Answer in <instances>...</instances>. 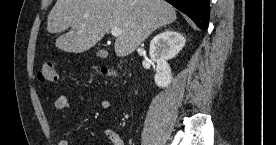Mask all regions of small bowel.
Listing matches in <instances>:
<instances>
[{
	"label": "small bowel",
	"mask_w": 276,
	"mask_h": 145,
	"mask_svg": "<svg viewBox=\"0 0 276 145\" xmlns=\"http://www.w3.org/2000/svg\"><path fill=\"white\" fill-rule=\"evenodd\" d=\"M100 106L103 109H107L110 106V102L106 99L100 101ZM71 102L63 95H58L54 101V109L62 111L67 108H71ZM104 136L112 143V145H123V140L120 133L114 129H105ZM58 145H69L67 139H60Z\"/></svg>",
	"instance_id": "obj_1"
}]
</instances>
